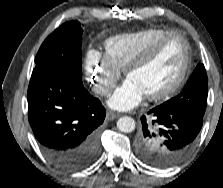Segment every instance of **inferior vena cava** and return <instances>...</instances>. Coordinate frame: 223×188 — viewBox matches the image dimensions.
Here are the masks:
<instances>
[{"label":"inferior vena cava","mask_w":223,"mask_h":188,"mask_svg":"<svg viewBox=\"0 0 223 188\" xmlns=\"http://www.w3.org/2000/svg\"><path fill=\"white\" fill-rule=\"evenodd\" d=\"M92 90L94 93L99 95H107L110 93V89L108 87L101 85H95Z\"/></svg>","instance_id":"inferior-vena-cava-1"}]
</instances>
